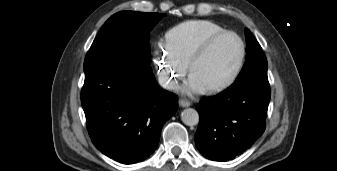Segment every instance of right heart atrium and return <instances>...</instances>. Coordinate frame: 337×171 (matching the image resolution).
Instances as JSON below:
<instances>
[{
	"instance_id": "d8ad5b80",
	"label": "right heart atrium",
	"mask_w": 337,
	"mask_h": 171,
	"mask_svg": "<svg viewBox=\"0 0 337 171\" xmlns=\"http://www.w3.org/2000/svg\"><path fill=\"white\" fill-rule=\"evenodd\" d=\"M154 60L161 82L168 87H174L187 72V65L178 59L164 43L156 46Z\"/></svg>"
}]
</instances>
